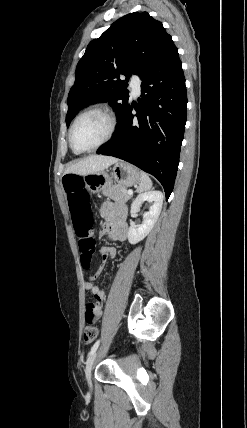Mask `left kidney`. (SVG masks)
<instances>
[{"label": "left kidney", "instance_id": "left-kidney-1", "mask_svg": "<svg viewBox=\"0 0 247 428\" xmlns=\"http://www.w3.org/2000/svg\"><path fill=\"white\" fill-rule=\"evenodd\" d=\"M144 201L151 202L148 212L143 214V223L138 226H131L128 230V241L136 244L143 240L154 227L163 204V194L161 191H149L139 194L131 204V213H136Z\"/></svg>", "mask_w": 247, "mask_h": 428}]
</instances>
